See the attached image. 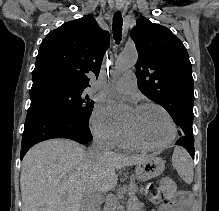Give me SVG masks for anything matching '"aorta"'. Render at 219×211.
Here are the masks:
<instances>
[{
	"mask_svg": "<svg viewBox=\"0 0 219 211\" xmlns=\"http://www.w3.org/2000/svg\"><path fill=\"white\" fill-rule=\"evenodd\" d=\"M138 59V54L135 49H125L121 54L118 56L115 69L118 72H124L130 67L134 66ZM108 109L109 113L113 118H119L128 110V107L116 101V99L109 95L108 96ZM119 205V201L116 195L108 196L105 204H104V211H116Z\"/></svg>",
	"mask_w": 219,
	"mask_h": 211,
	"instance_id": "obj_1",
	"label": "aorta"
}]
</instances>
